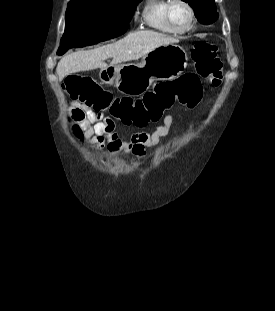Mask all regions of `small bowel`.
Wrapping results in <instances>:
<instances>
[{
    "mask_svg": "<svg viewBox=\"0 0 275 311\" xmlns=\"http://www.w3.org/2000/svg\"><path fill=\"white\" fill-rule=\"evenodd\" d=\"M221 75L210 79L213 87L221 83ZM70 113L84 129L85 137L90 141L91 148L99 152V156L108 159L117 155L120 151L132 152L138 157L145 155V149L157 146L168 135L177 134L175 128V114L164 117L163 123L153 132H138L127 138L115 132L114 121L104 117L102 113H95L90 107L71 103ZM189 130H192L190 126Z\"/></svg>",
    "mask_w": 275,
    "mask_h": 311,
    "instance_id": "small-bowel-1",
    "label": "small bowel"
}]
</instances>
